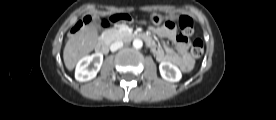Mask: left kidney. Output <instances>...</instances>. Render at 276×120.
Wrapping results in <instances>:
<instances>
[{
  "mask_svg": "<svg viewBox=\"0 0 276 120\" xmlns=\"http://www.w3.org/2000/svg\"><path fill=\"white\" fill-rule=\"evenodd\" d=\"M159 71L162 78L169 82H178L182 78V73L179 68L170 62H161Z\"/></svg>",
  "mask_w": 276,
  "mask_h": 120,
  "instance_id": "5707ae66",
  "label": "left kidney"
}]
</instances>
